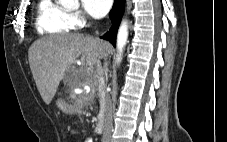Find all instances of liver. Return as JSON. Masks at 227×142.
I'll list each match as a JSON object with an SVG mask.
<instances>
[{"label": "liver", "instance_id": "1", "mask_svg": "<svg viewBox=\"0 0 227 142\" xmlns=\"http://www.w3.org/2000/svg\"><path fill=\"white\" fill-rule=\"evenodd\" d=\"M111 51L108 42L81 33L56 34L36 40L28 50L29 65L43 101L49 105L67 70L82 56L88 76L98 59Z\"/></svg>", "mask_w": 227, "mask_h": 142}]
</instances>
